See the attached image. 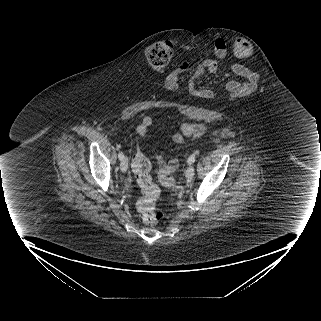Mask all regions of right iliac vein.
<instances>
[{
	"mask_svg": "<svg viewBox=\"0 0 321 321\" xmlns=\"http://www.w3.org/2000/svg\"><path fill=\"white\" fill-rule=\"evenodd\" d=\"M120 168L123 172H126L128 168V158L124 157L123 160H121Z\"/></svg>",
	"mask_w": 321,
	"mask_h": 321,
	"instance_id": "1",
	"label": "right iliac vein"
}]
</instances>
